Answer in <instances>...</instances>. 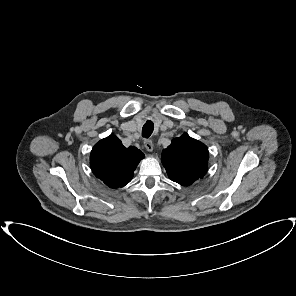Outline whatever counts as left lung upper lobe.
<instances>
[{
  "mask_svg": "<svg viewBox=\"0 0 296 296\" xmlns=\"http://www.w3.org/2000/svg\"><path fill=\"white\" fill-rule=\"evenodd\" d=\"M208 159L207 146L187 133L174 138L161 156L169 178L182 186L191 185L205 175Z\"/></svg>",
  "mask_w": 296,
  "mask_h": 296,
  "instance_id": "left-lung-upper-lobe-1",
  "label": "left lung upper lobe"
}]
</instances>
